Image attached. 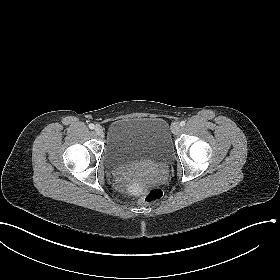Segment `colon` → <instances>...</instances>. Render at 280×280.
<instances>
[{"instance_id": "1", "label": "colon", "mask_w": 280, "mask_h": 280, "mask_svg": "<svg viewBox=\"0 0 280 280\" xmlns=\"http://www.w3.org/2000/svg\"><path fill=\"white\" fill-rule=\"evenodd\" d=\"M163 193L158 187H149L143 193V199L146 203H154L159 201Z\"/></svg>"}]
</instances>
